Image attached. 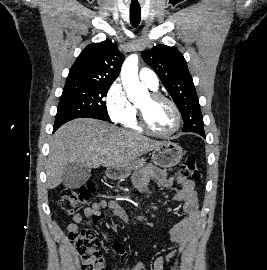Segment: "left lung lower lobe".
<instances>
[{"instance_id": "1", "label": "left lung lower lobe", "mask_w": 267, "mask_h": 270, "mask_svg": "<svg viewBox=\"0 0 267 270\" xmlns=\"http://www.w3.org/2000/svg\"><path fill=\"white\" fill-rule=\"evenodd\" d=\"M200 135H202V136H204V137H205V133H204V134H200Z\"/></svg>"}]
</instances>
